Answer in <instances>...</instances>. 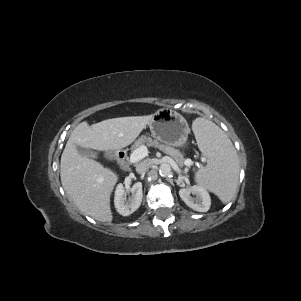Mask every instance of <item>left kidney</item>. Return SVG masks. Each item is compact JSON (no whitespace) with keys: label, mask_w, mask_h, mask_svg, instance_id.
Returning a JSON list of instances; mask_svg holds the SVG:
<instances>
[{"label":"left kidney","mask_w":301,"mask_h":301,"mask_svg":"<svg viewBox=\"0 0 301 301\" xmlns=\"http://www.w3.org/2000/svg\"><path fill=\"white\" fill-rule=\"evenodd\" d=\"M191 194L195 195L192 197ZM180 198L191 209L198 212H207L211 205V198L206 188L200 185L179 190Z\"/></svg>","instance_id":"1"}]
</instances>
